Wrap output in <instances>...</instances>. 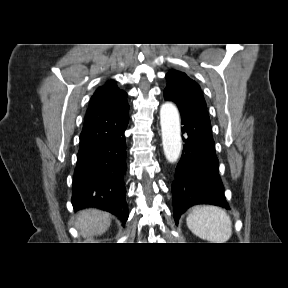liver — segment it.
Masks as SVG:
<instances>
[{
	"label": "liver",
	"mask_w": 288,
	"mask_h": 288,
	"mask_svg": "<svg viewBox=\"0 0 288 288\" xmlns=\"http://www.w3.org/2000/svg\"><path fill=\"white\" fill-rule=\"evenodd\" d=\"M111 224L110 214L98 209L89 208L79 212L75 227L83 238L103 234Z\"/></svg>",
	"instance_id": "1"
}]
</instances>
